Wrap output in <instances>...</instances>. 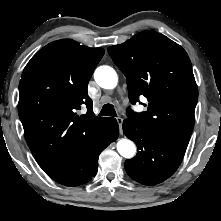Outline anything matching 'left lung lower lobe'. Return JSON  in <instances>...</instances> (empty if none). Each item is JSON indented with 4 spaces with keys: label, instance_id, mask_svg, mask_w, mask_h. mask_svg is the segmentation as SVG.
<instances>
[{
    "label": "left lung lower lobe",
    "instance_id": "obj_1",
    "mask_svg": "<svg viewBox=\"0 0 221 221\" xmlns=\"http://www.w3.org/2000/svg\"><path fill=\"white\" fill-rule=\"evenodd\" d=\"M124 134L137 145V155L125 161L127 174L145 185L169 178L180 165L187 145L160 138L132 119L123 121Z\"/></svg>",
    "mask_w": 221,
    "mask_h": 221
}]
</instances>
